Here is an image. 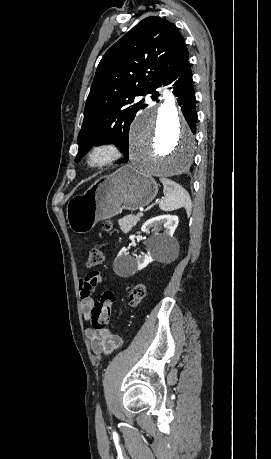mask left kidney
<instances>
[{
    "label": "left kidney",
    "instance_id": "obj_1",
    "mask_svg": "<svg viewBox=\"0 0 271 459\" xmlns=\"http://www.w3.org/2000/svg\"><path fill=\"white\" fill-rule=\"evenodd\" d=\"M179 224L178 216H156V218H150L145 224H143L141 231H149L151 228H157V226H164V233H159V235H154V239L150 245L148 253H142L139 257H133L129 261V265L123 269L122 261L126 263V249L127 247H122L119 251L116 261L121 265V271L119 273H135L136 269H143L146 267L150 261H154V257H161L166 251H174L175 239L172 237L175 229ZM135 235H129V239H134Z\"/></svg>",
    "mask_w": 271,
    "mask_h": 459
}]
</instances>
